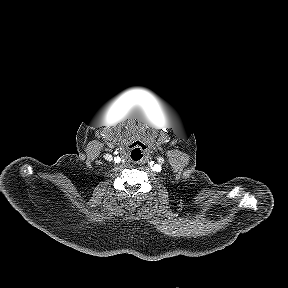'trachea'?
I'll return each instance as SVG.
<instances>
[{"label":"trachea","instance_id":"3493384b","mask_svg":"<svg viewBox=\"0 0 288 288\" xmlns=\"http://www.w3.org/2000/svg\"><path fill=\"white\" fill-rule=\"evenodd\" d=\"M130 159L134 162L141 160L147 152V147L141 142H134L129 147Z\"/></svg>","mask_w":288,"mask_h":288}]
</instances>
